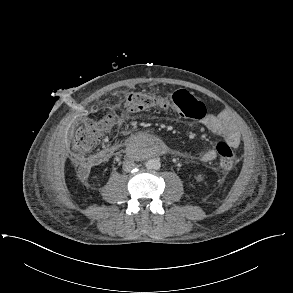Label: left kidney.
<instances>
[{"label": "left kidney", "mask_w": 293, "mask_h": 293, "mask_svg": "<svg viewBox=\"0 0 293 293\" xmlns=\"http://www.w3.org/2000/svg\"><path fill=\"white\" fill-rule=\"evenodd\" d=\"M203 179H204V177H203L202 174H198V175L196 176V180L199 181V182L203 181Z\"/></svg>", "instance_id": "left-kidney-1"}]
</instances>
